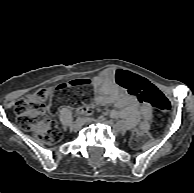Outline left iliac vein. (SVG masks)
Listing matches in <instances>:
<instances>
[{"label":"left iliac vein","mask_w":194,"mask_h":193,"mask_svg":"<svg viewBox=\"0 0 194 193\" xmlns=\"http://www.w3.org/2000/svg\"><path fill=\"white\" fill-rule=\"evenodd\" d=\"M106 123L112 127L113 132H115V133H120L123 130V128L120 124L113 123L111 121H106Z\"/></svg>","instance_id":"1"}]
</instances>
